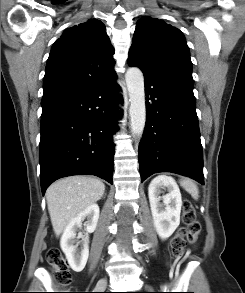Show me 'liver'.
Instances as JSON below:
<instances>
[{
    "mask_svg": "<svg viewBox=\"0 0 245 293\" xmlns=\"http://www.w3.org/2000/svg\"><path fill=\"white\" fill-rule=\"evenodd\" d=\"M104 191L101 180L87 176H71L53 183L46 191V200L56 236L75 216L100 200Z\"/></svg>",
    "mask_w": 245,
    "mask_h": 293,
    "instance_id": "6515ba94",
    "label": "liver"
}]
</instances>
